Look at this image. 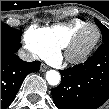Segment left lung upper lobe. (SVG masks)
<instances>
[{
  "label": "left lung upper lobe",
  "mask_w": 109,
  "mask_h": 109,
  "mask_svg": "<svg viewBox=\"0 0 109 109\" xmlns=\"http://www.w3.org/2000/svg\"><path fill=\"white\" fill-rule=\"evenodd\" d=\"M94 21L102 32L103 43H109V29L105 27L98 19L94 18Z\"/></svg>",
  "instance_id": "5c2ea615"
}]
</instances>
